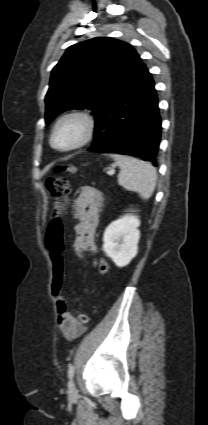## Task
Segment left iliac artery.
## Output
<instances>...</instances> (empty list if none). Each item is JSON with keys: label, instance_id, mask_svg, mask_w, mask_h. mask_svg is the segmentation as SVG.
Listing matches in <instances>:
<instances>
[{"label": "left iliac artery", "instance_id": "left-iliac-artery-1", "mask_svg": "<svg viewBox=\"0 0 208 425\" xmlns=\"http://www.w3.org/2000/svg\"><path fill=\"white\" fill-rule=\"evenodd\" d=\"M67 375L70 379L74 376V366L73 365H69Z\"/></svg>", "mask_w": 208, "mask_h": 425}]
</instances>
